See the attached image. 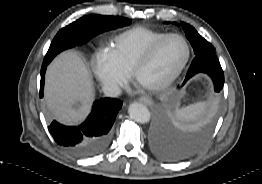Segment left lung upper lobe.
I'll list each match as a JSON object with an SVG mask.
<instances>
[{"instance_id": "1", "label": "left lung upper lobe", "mask_w": 262, "mask_h": 184, "mask_svg": "<svg viewBox=\"0 0 262 184\" xmlns=\"http://www.w3.org/2000/svg\"><path fill=\"white\" fill-rule=\"evenodd\" d=\"M180 27L185 32L187 39L190 41L195 55H198L204 52H208V51H215V48L208 41H206L202 36H200L194 27L184 22L180 23ZM187 80L188 78H185L183 85L186 83ZM220 82L221 84L224 83L223 81H220ZM213 83H214V87H216V85L221 86L219 84H216L218 83L216 81H213Z\"/></svg>"}]
</instances>
